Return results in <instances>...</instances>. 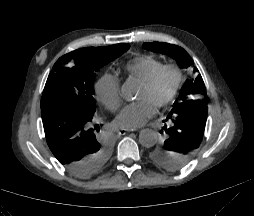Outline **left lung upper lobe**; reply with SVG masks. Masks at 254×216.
Segmentation results:
<instances>
[{"mask_svg": "<svg viewBox=\"0 0 254 216\" xmlns=\"http://www.w3.org/2000/svg\"><path fill=\"white\" fill-rule=\"evenodd\" d=\"M143 48L168 55L183 68L194 63L189 54L177 45L153 42L144 43ZM207 103L208 97L201 75L187 80L172 110L163 120L165 126L160 132L165 134L166 140L154 145L149 151L151 161L165 170L177 171L194 158L204 134Z\"/></svg>", "mask_w": 254, "mask_h": 216, "instance_id": "left-lung-upper-lobe-1", "label": "left lung upper lobe"}]
</instances>
